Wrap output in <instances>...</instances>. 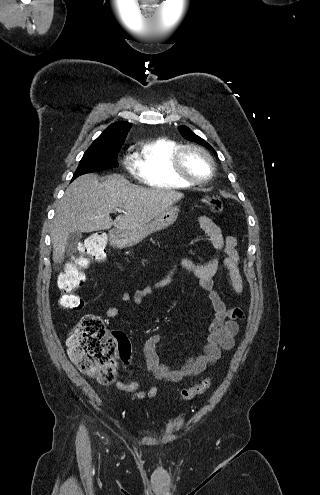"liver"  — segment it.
Segmentation results:
<instances>
[{"label":"liver","mask_w":320,"mask_h":495,"mask_svg":"<svg viewBox=\"0 0 320 495\" xmlns=\"http://www.w3.org/2000/svg\"><path fill=\"white\" fill-rule=\"evenodd\" d=\"M183 197L176 191L133 185L118 174L103 182L95 175L79 177L68 186L56 209L51 227L54 264L64 260L70 233L102 231L112 225L116 231L136 229ZM117 207L123 209V214L113 221L110 213Z\"/></svg>","instance_id":"1"}]
</instances>
